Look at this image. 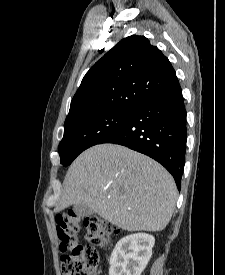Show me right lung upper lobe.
<instances>
[{"label": "right lung upper lobe", "mask_w": 225, "mask_h": 275, "mask_svg": "<svg viewBox=\"0 0 225 275\" xmlns=\"http://www.w3.org/2000/svg\"><path fill=\"white\" fill-rule=\"evenodd\" d=\"M179 86L168 58L144 36L132 35L117 43L86 73L65 124L97 113L133 110Z\"/></svg>", "instance_id": "1"}]
</instances>
